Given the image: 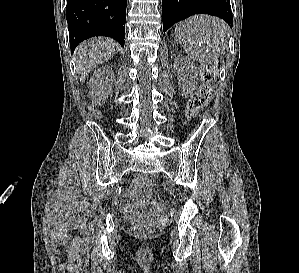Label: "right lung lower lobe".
Returning <instances> with one entry per match:
<instances>
[{
  "instance_id": "98d812e1",
  "label": "right lung lower lobe",
  "mask_w": 299,
  "mask_h": 273,
  "mask_svg": "<svg viewBox=\"0 0 299 273\" xmlns=\"http://www.w3.org/2000/svg\"><path fill=\"white\" fill-rule=\"evenodd\" d=\"M127 0H67L71 51L85 39L107 36L124 46Z\"/></svg>"
}]
</instances>
